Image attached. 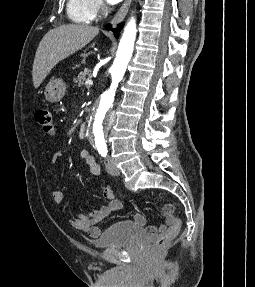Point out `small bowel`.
Instances as JSON below:
<instances>
[{"instance_id":"small-bowel-1","label":"small bowel","mask_w":255,"mask_h":287,"mask_svg":"<svg viewBox=\"0 0 255 287\" xmlns=\"http://www.w3.org/2000/svg\"><path fill=\"white\" fill-rule=\"evenodd\" d=\"M61 155V152L56 153L54 155V159H57ZM78 155L88 165L89 171L93 176L100 175V167L88 150L81 148L78 150ZM103 196L107 200L105 205L98 207L89 215L76 216L70 221L71 226L75 229L87 232L91 237H98L100 235V229L97 227V224L110 216L112 213H115L121 209V204L114 198L112 189L110 187H106L104 189ZM52 197L53 201L57 204L61 203L63 200V194L60 191H54ZM162 213L164 216V222L159 226L147 225V218L142 213L135 214L134 222L142 227H146L150 234L163 233L174 220L173 207L171 205L168 206L163 210Z\"/></svg>"}]
</instances>
